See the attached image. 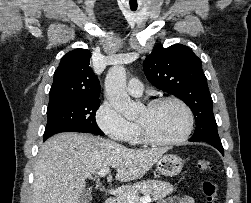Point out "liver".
Listing matches in <instances>:
<instances>
[{
	"label": "liver",
	"mask_w": 251,
	"mask_h": 203,
	"mask_svg": "<svg viewBox=\"0 0 251 203\" xmlns=\"http://www.w3.org/2000/svg\"><path fill=\"white\" fill-rule=\"evenodd\" d=\"M167 150L126 148L90 134H57L40 147L32 203H79L86 179L101 168H115L117 181L130 182L143 177Z\"/></svg>",
	"instance_id": "6515ba94"
}]
</instances>
